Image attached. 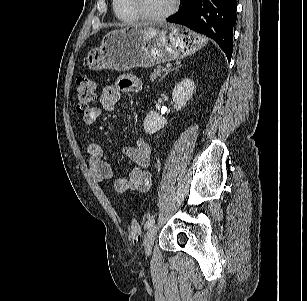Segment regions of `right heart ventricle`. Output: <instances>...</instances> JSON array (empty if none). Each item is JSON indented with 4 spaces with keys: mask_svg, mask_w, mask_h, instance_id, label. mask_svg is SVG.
I'll return each instance as SVG.
<instances>
[{
    "mask_svg": "<svg viewBox=\"0 0 307 301\" xmlns=\"http://www.w3.org/2000/svg\"><path fill=\"white\" fill-rule=\"evenodd\" d=\"M112 6L117 18L124 23H133L139 18L132 11L128 0H112Z\"/></svg>",
    "mask_w": 307,
    "mask_h": 301,
    "instance_id": "right-heart-ventricle-1",
    "label": "right heart ventricle"
}]
</instances>
